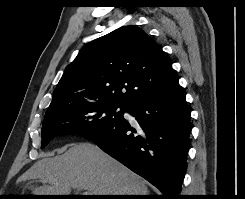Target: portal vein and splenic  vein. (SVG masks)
Instances as JSON below:
<instances>
[{"instance_id": "18ae733b", "label": "portal vein and splenic vein", "mask_w": 245, "mask_h": 199, "mask_svg": "<svg viewBox=\"0 0 245 199\" xmlns=\"http://www.w3.org/2000/svg\"><path fill=\"white\" fill-rule=\"evenodd\" d=\"M83 195H92L89 191H85Z\"/></svg>"}]
</instances>
